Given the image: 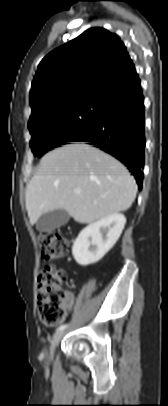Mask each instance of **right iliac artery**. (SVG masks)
<instances>
[{
  "instance_id": "right-iliac-artery-1",
  "label": "right iliac artery",
  "mask_w": 168,
  "mask_h": 406,
  "mask_svg": "<svg viewBox=\"0 0 168 406\" xmlns=\"http://www.w3.org/2000/svg\"><path fill=\"white\" fill-rule=\"evenodd\" d=\"M68 327V324H62L58 327L57 331H62Z\"/></svg>"
}]
</instances>
